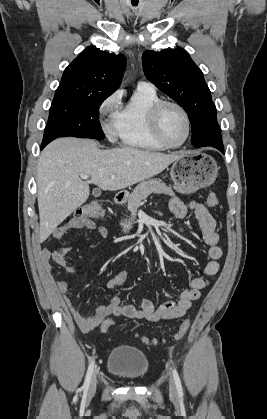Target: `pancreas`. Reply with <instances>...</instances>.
Masks as SVG:
<instances>
[{"label": "pancreas", "mask_w": 267, "mask_h": 419, "mask_svg": "<svg viewBox=\"0 0 267 419\" xmlns=\"http://www.w3.org/2000/svg\"><path fill=\"white\" fill-rule=\"evenodd\" d=\"M151 193L165 194L173 196L174 192L171 187H168L161 179H150L143 181L138 184L133 192L128 197V210L131 212V216L134 218L137 209L141 206L142 200H145ZM123 228V232H129L132 229L133 222L123 221L120 223Z\"/></svg>", "instance_id": "pancreas-1"}]
</instances>
